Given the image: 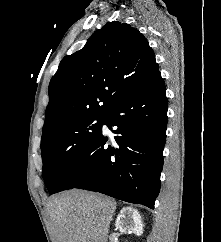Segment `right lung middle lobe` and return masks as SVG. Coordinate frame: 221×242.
Returning <instances> with one entry per match:
<instances>
[{
    "label": "right lung middle lobe",
    "mask_w": 221,
    "mask_h": 242,
    "mask_svg": "<svg viewBox=\"0 0 221 242\" xmlns=\"http://www.w3.org/2000/svg\"><path fill=\"white\" fill-rule=\"evenodd\" d=\"M103 115L77 118L42 135V175L51 192L71 163L101 132Z\"/></svg>",
    "instance_id": "right-lung-middle-lobe-1"
}]
</instances>
